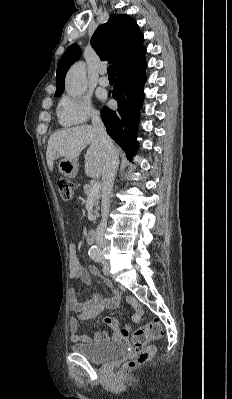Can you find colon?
<instances>
[{"instance_id": "colon-1", "label": "colon", "mask_w": 232, "mask_h": 399, "mask_svg": "<svg viewBox=\"0 0 232 399\" xmlns=\"http://www.w3.org/2000/svg\"><path fill=\"white\" fill-rule=\"evenodd\" d=\"M56 185H61V197L73 198V181L70 179L56 180ZM162 337L158 321H149L148 326H135L133 334L129 335V353H137L138 358H131L126 362L127 368H140V365L149 364V358L153 357L152 351H145V347H151L152 341H158Z\"/></svg>"}]
</instances>
